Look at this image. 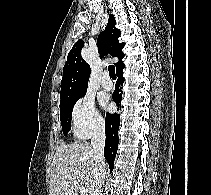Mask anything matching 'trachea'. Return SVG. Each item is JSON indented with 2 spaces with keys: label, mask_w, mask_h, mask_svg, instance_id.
Segmentation results:
<instances>
[{
  "label": "trachea",
  "mask_w": 211,
  "mask_h": 195,
  "mask_svg": "<svg viewBox=\"0 0 211 195\" xmlns=\"http://www.w3.org/2000/svg\"><path fill=\"white\" fill-rule=\"evenodd\" d=\"M109 75L112 79H116L115 67L113 65L108 66Z\"/></svg>",
  "instance_id": "obj_1"
}]
</instances>
